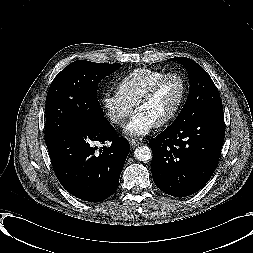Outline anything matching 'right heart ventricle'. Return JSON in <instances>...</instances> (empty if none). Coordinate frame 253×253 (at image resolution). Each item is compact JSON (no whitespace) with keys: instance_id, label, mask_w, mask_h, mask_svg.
<instances>
[{"instance_id":"1","label":"right heart ventricle","mask_w":253,"mask_h":253,"mask_svg":"<svg viewBox=\"0 0 253 253\" xmlns=\"http://www.w3.org/2000/svg\"><path fill=\"white\" fill-rule=\"evenodd\" d=\"M164 73L166 71L154 68L133 69L118 79L117 92L134 106L148 86Z\"/></svg>"}]
</instances>
